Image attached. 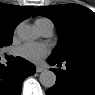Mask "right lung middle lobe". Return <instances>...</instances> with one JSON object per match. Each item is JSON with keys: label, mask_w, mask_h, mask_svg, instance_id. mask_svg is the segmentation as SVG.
Listing matches in <instances>:
<instances>
[{"label": "right lung middle lobe", "mask_w": 95, "mask_h": 95, "mask_svg": "<svg viewBox=\"0 0 95 95\" xmlns=\"http://www.w3.org/2000/svg\"><path fill=\"white\" fill-rule=\"evenodd\" d=\"M12 44V36H3L0 37V48L4 45Z\"/></svg>", "instance_id": "right-lung-middle-lobe-1"}]
</instances>
